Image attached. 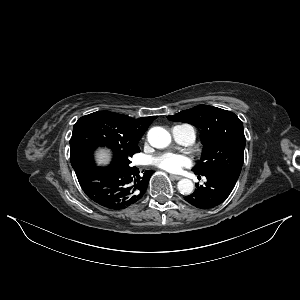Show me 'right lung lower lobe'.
I'll list each match as a JSON object with an SVG mask.
<instances>
[{"label":"right lung lower lobe","mask_w":300,"mask_h":300,"mask_svg":"<svg viewBox=\"0 0 300 300\" xmlns=\"http://www.w3.org/2000/svg\"><path fill=\"white\" fill-rule=\"evenodd\" d=\"M85 194L95 203L112 210L124 209L138 202L145 194L154 171L142 174L138 168L113 160L110 166L96 167L86 160L74 168Z\"/></svg>","instance_id":"right-lung-lower-lobe-1"}]
</instances>
